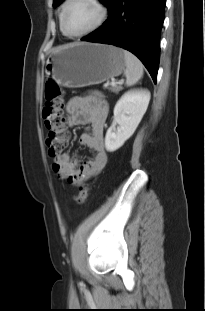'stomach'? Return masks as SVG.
I'll return each instance as SVG.
<instances>
[{
    "mask_svg": "<svg viewBox=\"0 0 205 311\" xmlns=\"http://www.w3.org/2000/svg\"><path fill=\"white\" fill-rule=\"evenodd\" d=\"M125 67L124 51L119 47L73 43L51 52L45 73L60 86L79 88L119 76Z\"/></svg>",
    "mask_w": 205,
    "mask_h": 311,
    "instance_id": "obj_1",
    "label": "stomach"
}]
</instances>
